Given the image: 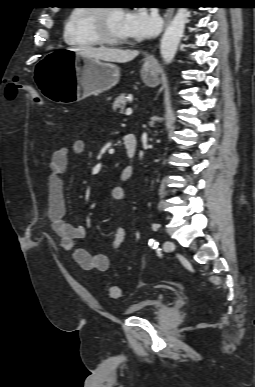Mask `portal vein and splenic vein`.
<instances>
[{
  "label": "portal vein and splenic vein",
  "mask_w": 255,
  "mask_h": 387,
  "mask_svg": "<svg viewBox=\"0 0 255 387\" xmlns=\"http://www.w3.org/2000/svg\"><path fill=\"white\" fill-rule=\"evenodd\" d=\"M125 114L126 115H131L132 114V108H127Z\"/></svg>",
  "instance_id": "18ae733b"
}]
</instances>
